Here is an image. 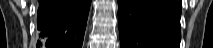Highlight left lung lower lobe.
I'll use <instances>...</instances> for the list:
<instances>
[{"label":"left lung lower lobe","mask_w":213,"mask_h":48,"mask_svg":"<svg viewBox=\"0 0 213 48\" xmlns=\"http://www.w3.org/2000/svg\"><path fill=\"white\" fill-rule=\"evenodd\" d=\"M181 0H118L121 48H179Z\"/></svg>","instance_id":"left-lung-lower-lobe-1"}]
</instances>
